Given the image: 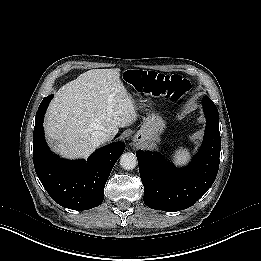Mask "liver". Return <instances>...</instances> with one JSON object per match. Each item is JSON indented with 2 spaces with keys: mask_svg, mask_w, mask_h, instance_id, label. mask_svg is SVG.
<instances>
[{
  "mask_svg": "<svg viewBox=\"0 0 261 261\" xmlns=\"http://www.w3.org/2000/svg\"><path fill=\"white\" fill-rule=\"evenodd\" d=\"M120 69H92L62 86L45 115V134L55 152L66 158L88 157L91 137L102 131L110 140L137 118L120 78Z\"/></svg>",
  "mask_w": 261,
  "mask_h": 261,
  "instance_id": "6515ba94",
  "label": "liver"
}]
</instances>
